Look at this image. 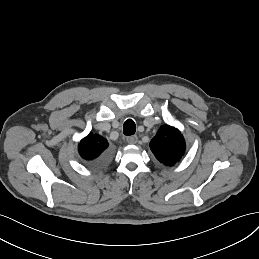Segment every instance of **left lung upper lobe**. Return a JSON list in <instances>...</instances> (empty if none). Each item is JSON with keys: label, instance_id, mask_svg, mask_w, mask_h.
<instances>
[{"label": "left lung upper lobe", "instance_id": "5c2ea615", "mask_svg": "<svg viewBox=\"0 0 259 259\" xmlns=\"http://www.w3.org/2000/svg\"><path fill=\"white\" fill-rule=\"evenodd\" d=\"M150 148L160 163L173 166L184 155L186 145L178 129L162 125L151 140Z\"/></svg>", "mask_w": 259, "mask_h": 259}]
</instances>
